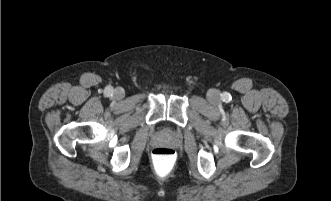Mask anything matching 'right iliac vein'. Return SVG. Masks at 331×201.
Listing matches in <instances>:
<instances>
[{"label": "right iliac vein", "mask_w": 331, "mask_h": 201, "mask_svg": "<svg viewBox=\"0 0 331 201\" xmlns=\"http://www.w3.org/2000/svg\"><path fill=\"white\" fill-rule=\"evenodd\" d=\"M124 94H125L124 90L120 87H118L114 90V97L116 99H122L124 97Z\"/></svg>", "instance_id": "obj_1"}]
</instances>
